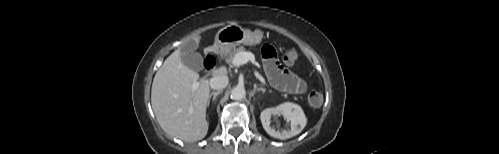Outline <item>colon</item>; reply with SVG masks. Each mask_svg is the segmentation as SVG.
Here are the masks:
<instances>
[{
	"mask_svg": "<svg viewBox=\"0 0 499 154\" xmlns=\"http://www.w3.org/2000/svg\"><path fill=\"white\" fill-rule=\"evenodd\" d=\"M282 58L287 65H293L299 60L300 52L295 47L290 46L284 50ZM308 101L311 106L319 107L323 102V96L319 91L311 90Z\"/></svg>",
	"mask_w": 499,
	"mask_h": 154,
	"instance_id": "1",
	"label": "colon"
}]
</instances>
